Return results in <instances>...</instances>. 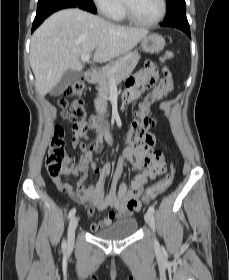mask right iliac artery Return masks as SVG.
I'll return each instance as SVG.
<instances>
[{
    "label": "right iliac artery",
    "instance_id": "82829eb1",
    "mask_svg": "<svg viewBox=\"0 0 229 280\" xmlns=\"http://www.w3.org/2000/svg\"><path fill=\"white\" fill-rule=\"evenodd\" d=\"M75 212H76L75 208L71 209L69 212L68 218L70 219L71 217H73L75 215ZM66 247H67L66 242L63 241L62 248L66 249Z\"/></svg>",
    "mask_w": 229,
    "mask_h": 280
}]
</instances>
